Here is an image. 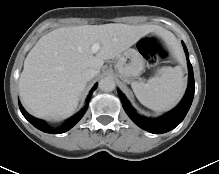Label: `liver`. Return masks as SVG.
Listing matches in <instances>:
<instances>
[{"mask_svg":"<svg viewBox=\"0 0 219 174\" xmlns=\"http://www.w3.org/2000/svg\"><path fill=\"white\" fill-rule=\"evenodd\" d=\"M151 32L160 33L166 40L172 36L158 26L114 23L62 27L49 32L24 61L19 79L23 103L38 118L59 120L70 116L86 86L83 72L93 68L99 74L104 60L120 56ZM95 43L100 49L93 53Z\"/></svg>","mask_w":219,"mask_h":174,"instance_id":"1","label":"liver"}]
</instances>
